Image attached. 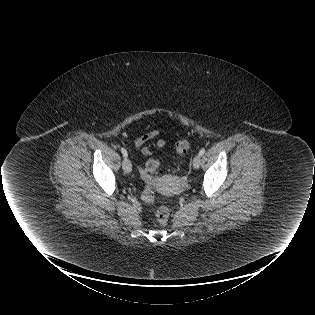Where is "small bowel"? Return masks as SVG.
Returning <instances> with one entry per match:
<instances>
[{
	"label": "small bowel",
	"mask_w": 315,
	"mask_h": 315,
	"mask_svg": "<svg viewBox=\"0 0 315 315\" xmlns=\"http://www.w3.org/2000/svg\"><path fill=\"white\" fill-rule=\"evenodd\" d=\"M161 134L160 129H153L145 134L137 135L134 138V145L141 147L142 153L146 156L152 154L153 148H163L167 142L164 139L155 140Z\"/></svg>",
	"instance_id": "c3829d8e"
}]
</instances>
